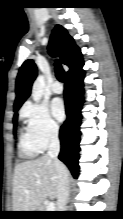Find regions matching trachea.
<instances>
[{
  "instance_id": "obj_1",
  "label": "trachea",
  "mask_w": 123,
  "mask_h": 219,
  "mask_svg": "<svg viewBox=\"0 0 123 219\" xmlns=\"http://www.w3.org/2000/svg\"><path fill=\"white\" fill-rule=\"evenodd\" d=\"M55 73H56V77L60 82H64L65 80V72L60 64L59 61H56L55 63Z\"/></svg>"
}]
</instances>
